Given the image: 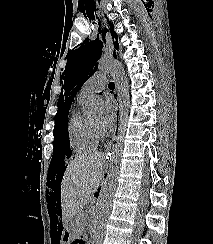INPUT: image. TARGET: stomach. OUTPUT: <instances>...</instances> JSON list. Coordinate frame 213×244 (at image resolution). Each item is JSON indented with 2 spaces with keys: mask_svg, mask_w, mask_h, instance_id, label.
<instances>
[{
  "mask_svg": "<svg viewBox=\"0 0 213 244\" xmlns=\"http://www.w3.org/2000/svg\"><path fill=\"white\" fill-rule=\"evenodd\" d=\"M75 221H66L63 223L64 239H60V244H72V239H77L78 229Z\"/></svg>",
  "mask_w": 213,
  "mask_h": 244,
  "instance_id": "1",
  "label": "stomach"
}]
</instances>
